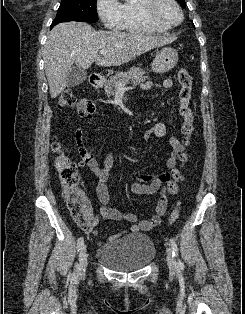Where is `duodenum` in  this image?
Wrapping results in <instances>:
<instances>
[{
	"instance_id": "410a0bca",
	"label": "duodenum",
	"mask_w": 245,
	"mask_h": 314,
	"mask_svg": "<svg viewBox=\"0 0 245 314\" xmlns=\"http://www.w3.org/2000/svg\"><path fill=\"white\" fill-rule=\"evenodd\" d=\"M89 81L93 88H99L101 86V78L97 75H91Z\"/></svg>"
}]
</instances>
